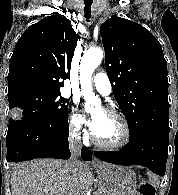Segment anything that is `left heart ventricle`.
Listing matches in <instances>:
<instances>
[{
  "label": "left heart ventricle",
  "instance_id": "1",
  "mask_svg": "<svg viewBox=\"0 0 178 195\" xmlns=\"http://www.w3.org/2000/svg\"><path fill=\"white\" fill-rule=\"evenodd\" d=\"M93 118L98 122L94 133L100 141L113 144L119 142L123 138V128L115 117L102 110H98L94 113Z\"/></svg>",
  "mask_w": 178,
  "mask_h": 195
}]
</instances>
